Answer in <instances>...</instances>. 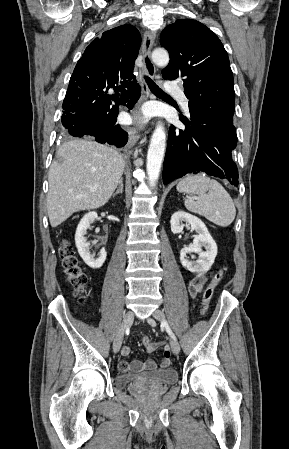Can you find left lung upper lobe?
I'll use <instances>...</instances> for the list:
<instances>
[{"instance_id":"left-lung-upper-lobe-1","label":"left lung upper lobe","mask_w":289,"mask_h":449,"mask_svg":"<svg viewBox=\"0 0 289 449\" xmlns=\"http://www.w3.org/2000/svg\"><path fill=\"white\" fill-rule=\"evenodd\" d=\"M160 44L170 55L163 78H182L190 111L233 125V73L219 38L196 20H176L162 31Z\"/></svg>"}]
</instances>
